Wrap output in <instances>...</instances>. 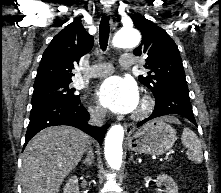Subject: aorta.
Instances as JSON below:
<instances>
[{
	"mask_svg": "<svg viewBox=\"0 0 221 193\" xmlns=\"http://www.w3.org/2000/svg\"><path fill=\"white\" fill-rule=\"evenodd\" d=\"M140 33L134 28H124L117 32L113 45L117 48H130L139 44ZM124 128L121 125L112 126L105 138V158L109 166L114 170H119L122 164V142Z\"/></svg>",
	"mask_w": 221,
	"mask_h": 193,
	"instance_id": "1",
	"label": "aorta"
}]
</instances>
